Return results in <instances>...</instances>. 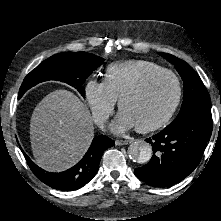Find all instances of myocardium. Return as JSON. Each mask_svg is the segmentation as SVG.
Here are the masks:
<instances>
[{"mask_svg":"<svg viewBox=\"0 0 221 221\" xmlns=\"http://www.w3.org/2000/svg\"><path fill=\"white\" fill-rule=\"evenodd\" d=\"M160 76H169L174 80L175 85H176V95H175L174 102L171 108L169 109V111L167 112V114L158 122L148 125V126L136 127V130L140 133H149V132L159 130L163 128L164 126H166L170 122V120L173 118L182 99V83H181L180 78L178 77L177 74H175L173 71L168 70V69L153 71L151 73H148L147 75L142 77L138 82H136L134 85L126 89L118 98V108L119 110H121L122 103L126 98L131 97L141 92L153 79L160 77Z\"/></svg>","mask_w":221,"mask_h":221,"instance_id":"1","label":"myocardium"}]
</instances>
